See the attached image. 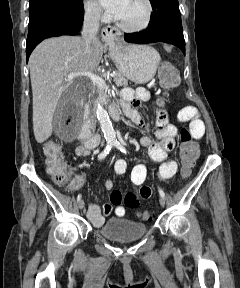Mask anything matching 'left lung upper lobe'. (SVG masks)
I'll return each instance as SVG.
<instances>
[{"label": "left lung upper lobe", "mask_w": 240, "mask_h": 288, "mask_svg": "<svg viewBox=\"0 0 240 288\" xmlns=\"http://www.w3.org/2000/svg\"><path fill=\"white\" fill-rule=\"evenodd\" d=\"M150 2L153 8L151 19L164 13L180 15L178 0H150Z\"/></svg>", "instance_id": "5c2ea615"}]
</instances>
